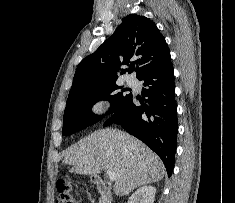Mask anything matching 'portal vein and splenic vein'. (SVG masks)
Returning a JSON list of instances; mask_svg holds the SVG:
<instances>
[{
    "label": "portal vein and splenic vein",
    "instance_id": "18ae733b",
    "mask_svg": "<svg viewBox=\"0 0 235 203\" xmlns=\"http://www.w3.org/2000/svg\"><path fill=\"white\" fill-rule=\"evenodd\" d=\"M106 172H107V175H108L109 180H110L111 182L117 180V178H118V176H119L118 173H116V172H114V171H112V170H108V169L106 170Z\"/></svg>",
    "mask_w": 235,
    "mask_h": 203
}]
</instances>
